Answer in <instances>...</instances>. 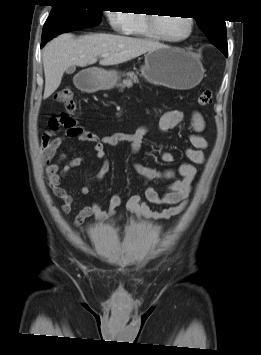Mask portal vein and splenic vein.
Returning <instances> with one entry per match:
<instances>
[{
	"label": "portal vein and splenic vein",
	"instance_id": "18ae733b",
	"mask_svg": "<svg viewBox=\"0 0 261 355\" xmlns=\"http://www.w3.org/2000/svg\"><path fill=\"white\" fill-rule=\"evenodd\" d=\"M109 56V53H104L101 55V57H108Z\"/></svg>",
	"mask_w": 261,
	"mask_h": 355
}]
</instances>
